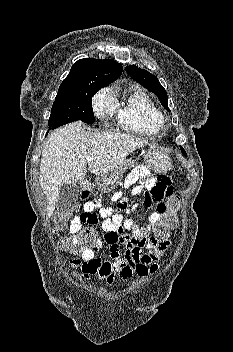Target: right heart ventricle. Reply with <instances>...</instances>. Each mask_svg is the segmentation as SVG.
Returning <instances> with one entry per match:
<instances>
[{
  "label": "right heart ventricle",
  "mask_w": 233,
  "mask_h": 352,
  "mask_svg": "<svg viewBox=\"0 0 233 352\" xmlns=\"http://www.w3.org/2000/svg\"><path fill=\"white\" fill-rule=\"evenodd\" d=\"M117 122L121 130L151 136L159 133L163 126V116L147 93L133 88L126 98L117 103Z\"/></svg>",
  "instance_id": "1"
}]
</instances>
